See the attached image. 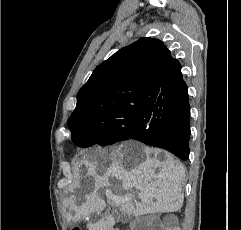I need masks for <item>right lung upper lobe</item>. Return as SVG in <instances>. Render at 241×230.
Returning a JSON list of instances; mask_svg holds the SVG:
<instances>
[{"mask_svg": "<svg viewBox=\"0 0 241 230\" xmlns=\"http://www.w3.org/2000/svg\"><path fill=\"white\" fill-rule=\"evenodd\" d=\"M162 41L141 38L96 67L77 95L68 126L108 118L116 108H134L157 97L162 79L175 62Z\"/></svg>", "mask_w": 241, "mask_h": 230, "instance_id": "1", "label": "right lung upper lobe"}]
</instances>
